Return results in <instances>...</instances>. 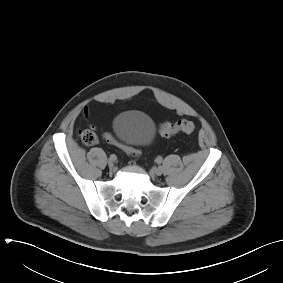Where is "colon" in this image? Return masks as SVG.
<instances>
[{
  "label": "colon",
  "mask_w": 283,
  "mask_h": 283,
  "mask_svg": "<svg viewBox=\"0 0 283 283\" xmlns=\"http://www.w3.org/2000/svg\"><path fill=\"white\" fill-rule=\"evenodd\" d=\"M159 133L164 137H171L179 133L193 134L196 131V124L190 120H179L175 123L163 122L159 124ZM81 141L88 146L94 145L97 142V135L93 129H83L79 131ZM104 139L115 146L121 147L129 156L136 158L139 156V151L127 145L122 144L113 134L105 133Z\"/></svg>",
  "instance_id": "colon-1"
}]
</instances>
